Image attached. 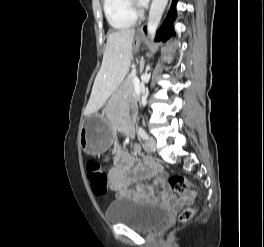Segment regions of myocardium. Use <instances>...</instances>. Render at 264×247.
Segmentation results:
<instances>
[{"label":"myocardium","mask_w":264,"mask_h":247,"mask_svg":"<svg viewBox=\"0 0 264 247\" xmlns=\"http://www.w3.org/2000/svg\"><path fill=\"white\" fill-rule=\"evenodd\" d=\"M130 1V5H131V9L133 11L134 14H136L137 16H140L143 14V10L141 8H139L135 3L134 0H129Z\"/></svg>","instance_id":"myocardium-1"}]
</instances>
